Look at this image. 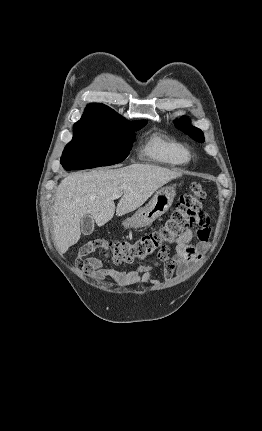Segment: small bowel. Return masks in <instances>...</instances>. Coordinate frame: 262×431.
<instances>
[{"mask_svg": "<svg viewBox=\"0 0 262 431\" xmlns=\"http://www.w3.org/2000/svg\"><path fill=\"white\" fill-rule=\"evenodd\" d=\"M197 225L198 229L195 234L189 228L176 240V253L172 257L168 255L159 256L157 262L146 266H138L130 271L107 267L101 260L91 258L87 260L91 266V271L88 273L96 279L110 278L122 287L138 284L147 285L153 280L152 270L163 265L164 279L171 281L175 273L183 275L188 272L201 259L202 253L208 245L211 233L209 223H197ZM194 236L197 238L196 243L193 242Z\"/></svg>", "mask_w": 262, "mask_h": 431, "instance_id": "obj_1", "label": "small bowel"}]
</instances>
